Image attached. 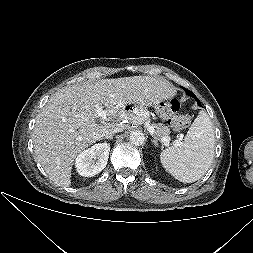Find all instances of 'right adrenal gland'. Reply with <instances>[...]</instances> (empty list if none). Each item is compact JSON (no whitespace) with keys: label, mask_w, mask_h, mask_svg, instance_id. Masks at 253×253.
Segmentation results:
<instances>
[{"label":"right adrenal gland","mask_w":253,"mask_h":253,"mask_svg":"<svg viewBox=\"0 0 253 253\" xmlns=\"http://www.w3.org/2000/svg\"><path fill=\"white\" fill-rule=\"evenodd\" d=\"M102 139H110V140H112L113 139V135H110V136H108L106 138H102Z\"/></svg>","instance_id":"2a0ac1e0"}]
</instances>
